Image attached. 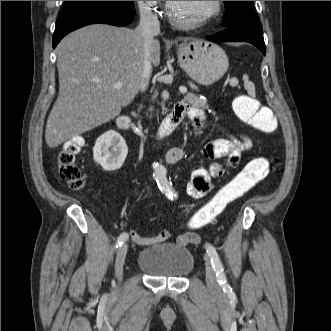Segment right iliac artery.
Here are the masks:
<instances>
[{"mask_svg": "<svg viewBox=\"0 0 331 331\" xmlns=\"http://www.w3.org/2000/svg\"><path fill=\"white\" fill-rule=\"evenodd\" d=\"M128 239V234L127 233H122L120 234V236L117 238L115 247L118 248L119 246H121L126 240Z\"/></svg>", "mask_w": 331, "mask_h": 331, "instance_id": "82829eb1", "label": "right iliac artery"}]
</instances>
